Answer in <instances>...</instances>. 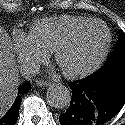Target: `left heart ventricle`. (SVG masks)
<instances>
[{
    "mask_svg": "<svg viewBox=\"0 0 125 125\" xmlns=\"http://www.w3.org/2000/svg\"><path fill=\"white\" fill-rule=\"evenodd\" d=\"M105 42V31L95 24L82 30L75 40L60 55V67L66 71H76L94 61Z\"/></svg>",
    "mask_w": 125,
    "mask_h": 125,
    "instance_id": "1",
    "label": "left heart ventricle"
}]
</instances>
